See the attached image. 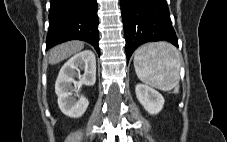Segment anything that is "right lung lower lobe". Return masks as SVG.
Masks as SVG:
<instances>
[{"mask_svg":"<svg viewBox=\"0 0 227 142\" xmlns=\"http://www.w3.org/2000/svg\"><path fill=\"white\" fill-rule=\"evenodd\" d=\"M97 9L96 0H50L46 49L69 40H83L100 54Z\"/></svg>","mask_w":227,"mask_h":142,"instance_id":"98d812e1","label":"right lung lower lobe"}]
</instances>
